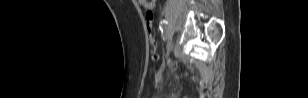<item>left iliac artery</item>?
<instances>
[{"label": "left iliac artery", "mask_w": 308, "mask_h": 98, "mask_svg": "<svg viewBox=\"0 0 308 98\" xmlns=\"http://www.w3.org/2000/svg\"><path fill=\"white\" fill-rule=\"evenodd\" d=\"M167 24H168V22H167L166 20H163V21L160 23L159 28H160V30H161L162 32H163L164 30H166Z\"/></svg>", "instance_id": "44dca946"}]
</instances>
